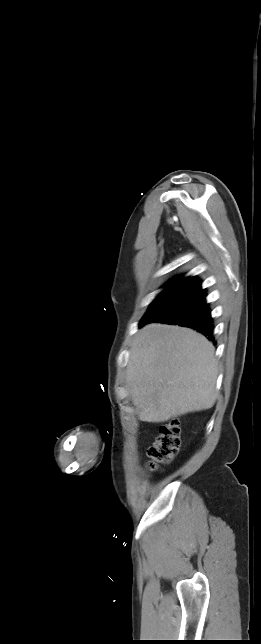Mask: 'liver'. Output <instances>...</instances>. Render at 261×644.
I'll return each instance as SVG.
<instances>
[{"mask_svg": "<svg viewBox=\"0 0 261 644\" xmlns=\"http://www.w3.org/2000/svg\"><path fill=\"white\" fill-rule=\"evenodd\" d=\"M214 347L183 327L152 323L131 344L126 371L139 420L160 423L210 409L218 375Z\"/></svg>", "mask_w": 261, "mask_h": 644, "instance_id": "1", "label": "liver"}]
</instances>
